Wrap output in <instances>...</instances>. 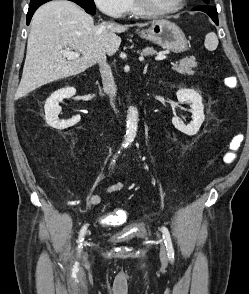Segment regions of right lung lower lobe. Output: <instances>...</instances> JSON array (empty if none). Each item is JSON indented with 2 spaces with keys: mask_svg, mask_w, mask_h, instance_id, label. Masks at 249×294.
Instances as JSON below:
<instances>
[{
  "mask_svg": "<svg viewBox=\"0 0 249 294\" xmlns=\"http://www.w3.org/2000/svg\"><path fill=\"white\" fill-rule=\"evenodd\" d=\"M50 0H45L43 2H40V3H37V4H34V5H30L29 7V10H28V13H27V25H29L30 21H31V18L34 14V12L36 11V9L41 6L42 4L48 2ZM71 1V0H70ZM87 13H89L87 10H85ZM90 14V13H89Z\"/></svg>",
  "mask_w": 249,
  "mask_h": 294,
  "instance_id": "obj_1",
  "label": "right lung lower lobe"
}]
</instances>
